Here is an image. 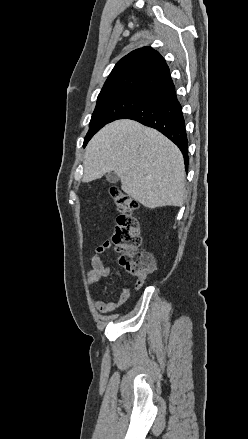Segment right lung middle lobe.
Wrapping results in <instances>:
<instances>
[{"label":"right lung middle lobe","mask_w":248,"mask_h":439,"mask_svg":"<svg viewBox=\"0 0 248 439\" xmlns=\"http://www.w3.org/2000/svg\"><path fill=\"white\" fill-rule=\"evenodd\" d=\"M148 98L149 96L145 94L134 92H119L98 97L89 124V131L84 139L83 146L85 147L92 136L104 125L120 119L123 115L146 101Z\"/></svg>","instance_id":"dd1d6c3e"}]
</instances>
